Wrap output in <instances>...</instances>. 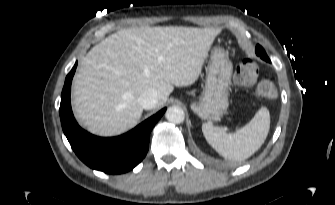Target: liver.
<instances>
[{"label": "liver", "instance_id": "1", "mask_svg": "<svg viewBox=\"0 0 335 205\" xmlns=\"http://www.w3.org/2000/svg\"><path fill=\"white\" fill-rule=\"evenodd\" d=\"M219 29L181 26L122 29L95 45L79 64L73 82L74 111L87 129L113 136L142 116L139 96L158 93L156 107L174 86L199 77Z\"/></svg>", "mask_w": 335, "mask_h": 205}]
</instances>
